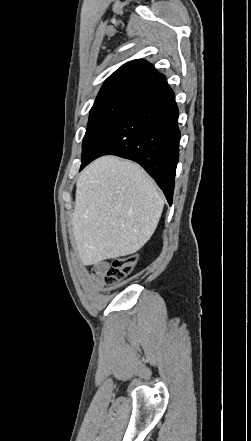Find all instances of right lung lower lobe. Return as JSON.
<instances>
[{
    "mask_svg": "<svg viewBox=\"0 0 251 441\" xmlns=\"http://www.w3.org/2000/svg\"><path fill=\"white\" fill-rule=\"evenodd\" d=\"M178 107L167 81L135 101L104 133L81 169L103 155L139 163L157 182L169 204L179 158Z\"/></svg>",
    "mask_w": 251,
    "mask_h": 441,
    "instance_id": "obj_1",
    "label": "right lung lower lobe"
}]
</instances>
